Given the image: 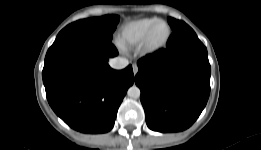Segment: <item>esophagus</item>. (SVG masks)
I'll list each match as a JSON object with an SVG mask.
<instances>
[{
  "label": "esophagus",
  "instance_id": "esophagus-1",
  "mask_svg": "<svg viewBox=\"0 0 261 150\" xmlns=\"http://www.w3.org/2000/svg\"><path fill=\"white\" fill-rule=\"evenodd\" d=\"M132 68H133L134 75H136L138 73V66L136 64H133Z\"/></svg>",
  "mask_w": 261,
  "mask_h": 150
}]
</instances>
